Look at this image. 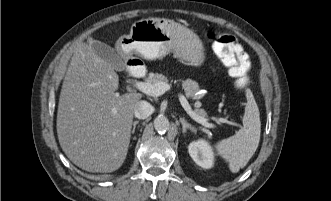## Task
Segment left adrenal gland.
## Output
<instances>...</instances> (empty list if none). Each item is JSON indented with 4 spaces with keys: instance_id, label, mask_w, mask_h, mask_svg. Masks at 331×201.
Masks as SVG:
<instances>
[{
    "instance_id": "a2214340",
    "label": "left adrenal gland",
    "mask_w": 331,
    "mask_h": 201,
    "mask_svg": "<svg viewBox=\"0 0 331 201\" xmlns=\"http://www.w3.org/2000/svg\"><path fill=\"white\" fill-rule=\"evenodd\" d=\"M180 122L182 124V132L186 133L187 129L191 130L192 132H196L195 127L189 124L184 118H180Z\"/></svg>"
}]
</instances>
